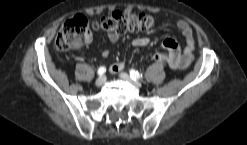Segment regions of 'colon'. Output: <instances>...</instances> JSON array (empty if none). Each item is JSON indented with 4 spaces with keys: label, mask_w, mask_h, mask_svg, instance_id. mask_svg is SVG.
<instances>
[{
    "label": "colon",
    "mask_w": 247,
    "mask_h": 145,
    "mask_svg": "<svg viewBox=\"0 0 247 145\" xmlns=\"http://www.w3.org/2000/svg\"><path fill=\"white\" fill-rule=\"evenodd\" d=\"M154 19L146 13L124 14L113 12L103 16L93 25L95 30L108 33L123 34L126 32L146 31L153 27ZM92 37L87 19L83 15H75L67 20L59 29L55 45L58 50L66 51L82 46Z\"/></svg>",
    "instance_id": "5ec220e1"
}]
</instances>
